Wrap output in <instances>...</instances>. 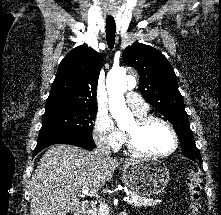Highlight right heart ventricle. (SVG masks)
Listing matches in <instances>:
<instances>
[{
	"mask_svg": "<svg viewBox=\"0 0 221 215\" xmlns=\"http://www.w3.org/2000/svg\"><path fill=\"white\" fill-rule=\"evenodd\" d=\"M144 115H146V112L145 113L137 114V116H144Z\"/></svg>",
	"mask_w": 221,
	"mask_h": 215,
	"instance_id": "e07e8e85",
	"label": "right heart ventricle"
}]
</instances>
